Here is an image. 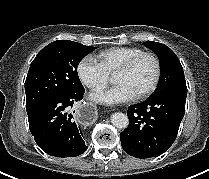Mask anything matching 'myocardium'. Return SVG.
Here are the masks:
<instances>
[{
  "mask_svg": "<svg viewBox=\"0 0 209 179\" xmlns=\"http://www.w3.org/2000/svg\"><path fill=\"white\" fill-rule=\"evenodd\" d=\"M144 57H149L153 60L154 64H155V76L154 79L151 83V85L144 90L143 92L135 95V99H144L147 98L148 96H150L157 88L160 78H161V62L160 59L158 58V56L152 52H141L137 55H135L134 57H132L131 59H129L126 63H124L115 73L114 76L118 75V74H123V73H127L129 72L142 58Z\"/></svg>",
  "mask_w": 209,
  "mask_h": 179,
  "instance_id": "obj_1",
  "label": "myocardium"
}]
</instances>
